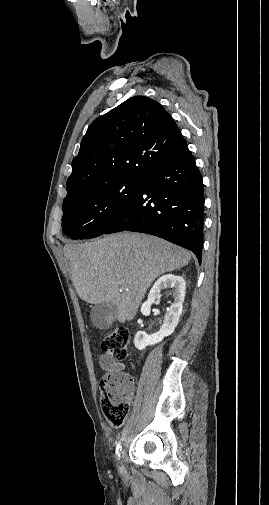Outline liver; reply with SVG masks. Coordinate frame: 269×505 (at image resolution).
Instances as JSON below:
<instances>
[{"label":"liver","instance_id":"liver-1","mask_svg":"<svg viewBox=\"0 0 269 505\" xmlns=\"http://www.w3.org/2000/svg\"><path fill=\"white\" fill-rule=\"evenodd\" d=\"M64 255L79 297L90 304L114 303L121 323L134 318L158 276L186 266L191 259V254L177 245L131 232L67 244Z\"/></svg>","mask_w":269,"mask_h":505}]
</instances>
